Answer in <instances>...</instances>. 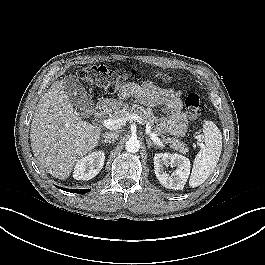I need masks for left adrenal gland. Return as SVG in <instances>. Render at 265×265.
<instances>
[{"instance_id": "1", "label": "left adrenal gland", "mask_w": 265, "mask_h": 265, "mask_svg": "<svg viewBox=\"0 0 265 265\" xmlns=\"http://www.w3.org/2000/svg\"><path fill=\"white\" fill-rule=\"evenodd\" d=\"M146 142L148 144V148H150L151 146H157L158 148H160V146H158L156 143L152 142L150 139H146Z\"/></svg>"}]
</instances>
